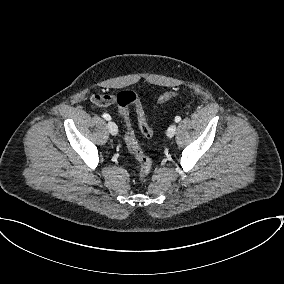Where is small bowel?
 I'll list each match as a JSON object with an SVG mask.
<instances>
[{
	"label": "small bowel",
	"instance_id": "1",
	"mask_svg": "<svg viewBox=\"0 0 284 284\" xmlns=\"http://www.w3.org/2000/svg\"><path fill=\"white\" fill-rule=\"evenodd\" d=\"M90 101L99 108L105 109L109 105L117 104V95L95 93L91 95Z\"/></svg>",
	"mask_w": 284,
	"mask_h": 284
}]
</instances>
